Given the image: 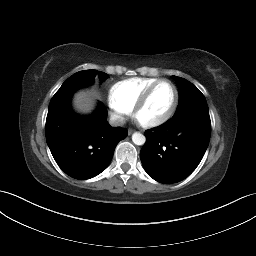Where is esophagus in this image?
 <instances>
[{
  "label": "esophagus",
  "instance_id": "obj_1",
  "mask_svg": "<svg viewBox=\"0 0 256 256\" xmlns=\"http://www.w3.org/2000/svg\"><path fill=\"white\" fill-rule=\"evenodd\" d=\"M134 132L133 129H128V135H131Z\"/></svg>",
  "mask_w": 256,
  "mask_h": 256
}]
</instances>
